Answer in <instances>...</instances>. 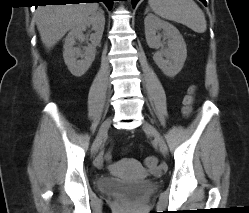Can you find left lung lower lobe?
Masks as SVG:
<instances>
[{
    "instance_id": "0a47b994",
    "label": "left lung lower lobe",
    "mask_w": 249,
    "mask_h": 213,
    "mask_svg": "<svg viewBox=\"0 0 249 213\" xmlns=\"http://www.w3.org/2000/svg\"><path fill=\"white\" fill-rule=\"evenodd\" d=\"M139 0H132V5H133V8L135 7V5L137 4ZM202 1L205 5H206V1L205 0H200Z\"/></svg>"
}]
</instances>
